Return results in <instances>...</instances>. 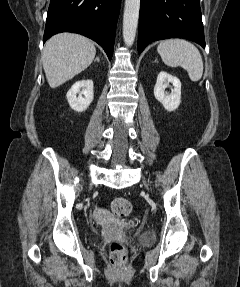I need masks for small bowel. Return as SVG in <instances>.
<instances>
[{
	"label": "small bowel",
	"mask_w": 240,
	"mask_h": 287,
	"mask_svg": "<svg viewBox=\"0 0 240 287\" xmlns=\"http://www.w3.org/2000/svg\"><path fill=\"white\" fill-rule=\"evenodd\" d=\"M95 216L98 219H107L110 218V213L106 209L97 208L95 210Z\"/></svg>",
	"instance_id": "1"
}]
</instances>
